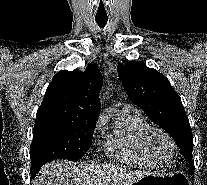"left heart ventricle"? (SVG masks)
<instances>
[{
    "label": "left heart ventricle",
    "mask_w": 207,
    "mask_h": 185,
    "mask_svg": "<svg viewBox=\"0 0 207 185\" xmlns=\"http://www.w3.org/2000/svg\"><path fill=\"white\" fill-rule=\"evenodd\" d=\"M154 147L163 158H170L173 152L171 143L161 135L153 138Z\"/></svg>",
    "instance_id": "obj_1"
}]
</instances>
